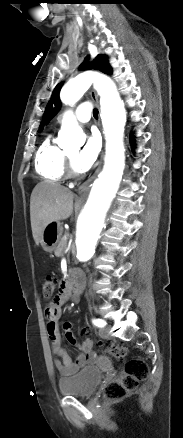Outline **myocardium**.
Segmentation results:
<instances>
[{"mask_svg": "<svg viewBox=\"0 0 183 438\" xmlns=\"http://www.w3.org/2000/svg\"><path fill=\"white\" fill-rule=\"evenodd\" d=\"M66 173L69 177H77L80 175V171L76 169L74 165V161L69 157L66 156Z\"/></svg>", "mask_w": 183, "mask_h": 438, "instance_id": "obj_1", "label": "myocardium"}]
</instances>
